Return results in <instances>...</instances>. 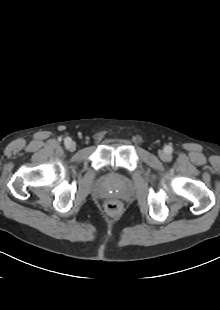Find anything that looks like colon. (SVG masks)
Masks as SVG:
<instances>
[{"label": "colon", "instance_id": "1", "mask_svg": "<svg viewBox=\"0 0 220 310\" xmlns=\"http://www.w3.org/2000/svg\"><path fill=\"white\" fill-rule=\"evenodd\" d=\"M106 209L109 213L111 214H116L120 211L121 209V206L118 202H115V201H111V202H108L107 205H106Z\"/></svg>", "mask_w": 220, "mask_h": 310}]
</instances>
